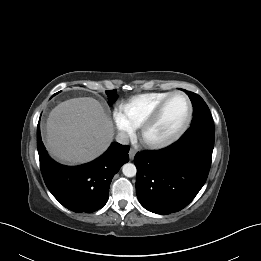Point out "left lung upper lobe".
<instances>
[{"label": "left lung upper lobe", "mask_w": 261, "mask_h": 261, "mask_svg": "<svg viewBox=\"0 0 261 261\" xmlns=\"http://www.w3.org/2000/svg\"><path fill=\"white\" fill-rule=\"evenodd\" d=\"M184 91L189 96L194 108L191 127L204 126L209 128H215L210 110L204 102V100L199 95L193 92L187 90Z\"/></svg>", "instance_id": "left-lung-upper-lobe-1"}]
</instances>
